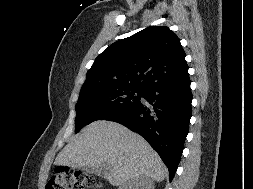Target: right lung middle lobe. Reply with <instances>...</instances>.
Returning <instances> with one entry per match:
<instances>
[{
	"instance_id": "dd1d6c3e",
	"label": "right lung middle lobe",
	"mask_w": 253,
	"mask_h": 189,
	"mask_svg": "<svg viewBox=\"0 0 253 189\" xmlns=\"http://www.w3.org/2000/svg\"><path fill=\"white\" fill-rule=\"evenodd\" d=\"M142 90L126 86H107L80 93L76 104L75 132L96 120L126 111L140 101Z\"/></svg>"
}]
</instances>
